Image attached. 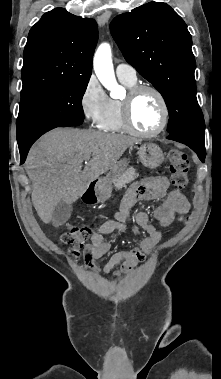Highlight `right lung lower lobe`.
<instances>
[{
  "label": "right lung lower lobe",
  "instance_id": "right-lung-lower-lobe-1",
  "mask_svg": "<svg viewBox=\"0 0 221 379\" xmlns=\"http://www.w3.org/2000/svg\"><path fill=\"white\" fill-rule=\"evenodd\" d=\"M37 140V139H36ZM36 140H31L27 142H21L18 143L19 146V151H20V157H21V164L25 161L27 153L31 147V145L36 141Z\"/></svg>",
  "mask_w": 221,
  "mask_h": 379
}]
</instances>
